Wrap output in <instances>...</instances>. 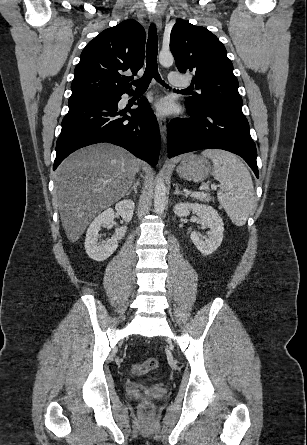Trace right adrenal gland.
<instances>
[{
	"mask_svg": "<svg viewBox=\"0 0 307 445\" xmlns=\"http://www.w3.org/2000/svg\"><path fill=\"white\" fill-rule=\"evenodd\" d=\"M138 186H140V182L137 178L136 182H133V186H131V188H130V190H128L127 194H130V192H132V190H134V192H137Z\"/></svg>",
	"mask_w": 307,
	"mask_h": 445,
	"instance_id": "2a0ac1e0",
	"label": "right adrenal gland"
}]
</instances>
